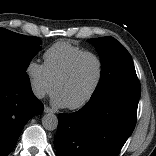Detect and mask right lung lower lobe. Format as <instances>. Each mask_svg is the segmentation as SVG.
<instances>
[{"label":"right lung lower lobe","mask_w":156,"mask_h":156,"mask_svg":"<svg viewBox=\"0 0 156 156\" xmlns=\"http://www.w3.org/2000/svg\"><path fill=\"white\" fill-rule=\"evenodd\" d=\"M42 111L30 82L0 77V156L11 152L24 125Z\"/></svg>","instance_id":"98d812e1"}]
</instances>
